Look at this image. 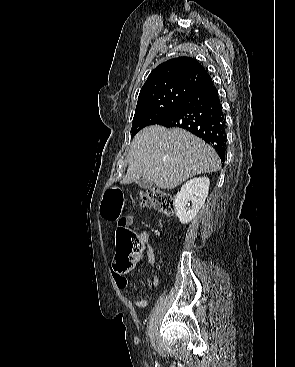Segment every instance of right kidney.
<instances>
[{"mask_svg": "<svg viewBox=\"0 0 295 367\" xmlns=\"http://www.w3.org/2000/svg\"><path fill=\"white\" fill-rule=\"evenodd\" d=\"M210 180L207 177L187 181L174 199L176 215L182 224L189 223L198 213L208 195Z\"/></svg>", "mask_w": 295, "mask_h": 367, "instance_id": "right-kidney-1", "label": "right kidney"}]
</instances>
